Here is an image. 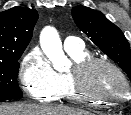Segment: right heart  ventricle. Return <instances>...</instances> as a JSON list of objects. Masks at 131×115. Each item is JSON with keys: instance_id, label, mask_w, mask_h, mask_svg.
I'll use <instances>...</instances> for the list:
<instances>
[{"instance_id": "obj_1", "label": "right heart ventricle", "mask_w": 131, "mask_h": 115, "mask_svg": "<svg viewBox=\"0 0 131 115\" xmlns=\"http://www.w3.org/2000/svg\"><path fill=\"white\" fill-rule=\"evenodd\" d=\"M70 58L73 60L74 64H77L83 60H86L90 57H92L91 53L85 49L81 48L79 50H71L67 51ZM60 80H61V90L58 94V97H64L72 102H78V103H90L92 105H98V103L92 102V101H85L82 99L77 98L70 87V80H69V73L68 74H61Z\"/></svg>"}]
</instances>
